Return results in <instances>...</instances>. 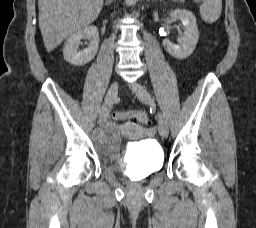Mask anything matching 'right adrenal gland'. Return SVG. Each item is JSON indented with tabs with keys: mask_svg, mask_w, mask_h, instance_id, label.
<instances>
[{
	"mask_svg": "<svg viewBox=\"0 0 256 228\" xmlns=\"http://www.w3.org/2000/svg\"><path fill=\"white\" fill-rule=\"evenodd\" d=\"M113 0H106L105 5H109Z\"/></svg>",
	"mask_w": 256,
	"mask_h": 228,
	"instance_id": "1",
	"label": "right adrenal gland"
}]
</instances>
